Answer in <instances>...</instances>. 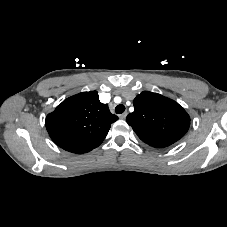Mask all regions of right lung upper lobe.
<instances>
[{
	"label": "right lung upper lobe",
	"instance_id": "obj_1",
	"mask_svg": "<svg viewBox=\"0 0 227 227\" xmlns=\"http://www.w3.org/2000/svg\"><path fill=\"white\" fill-rule=\"evenodd\" d=\"M116 120L108 105L99 101L97 91H90L64 100L47 115L45 125L59 147L81 154L98 147Z\"/></svg>",
	"mask_w": 227,
	"mask_h": 227
}]
</instances>
